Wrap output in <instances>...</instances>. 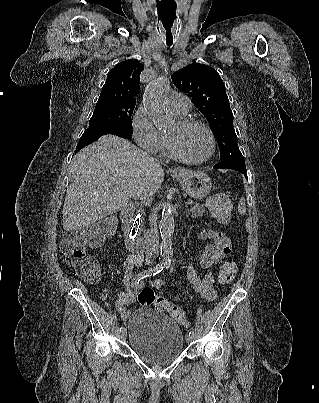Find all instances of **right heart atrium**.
<instances>
[{"label": "right heart atrium", "mask_w": 319, "mask_h": 403, "mask_svg": "<svg viewBox=\"0 0 319 403\" xmlns=\"http://www.w3.org/2000/svg\"><path fill=\"white\" fill-rule=\"evenodd\" d=\"M132 135L136 143L146 152L161 154L165 147V138L149 118L144 107H139L131 119Z\"/></svg>", "instance_id": "right-heart-atrium-1"}]
</instances>
